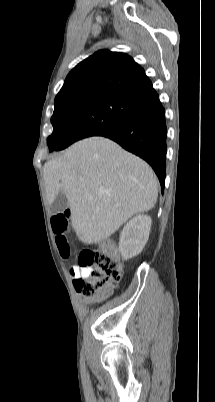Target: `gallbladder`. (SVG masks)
<instances>
[{
    "label": "gallbladder",
    "mask_w": 215,
    "mask_h": 402,
    "mask_svg": "<svg viewBox=\"0 0 215 402\" xmlns=\"http://www.w3.org/2000/svg\"><path fill=\"white\" fill-rule=\"evenodd\" d=\"M68 206V199L63 192H60L51 204L53 213H59L66 209Z\"/></svg>",
    "instance_id": "obj_1"
}]
</instances>
